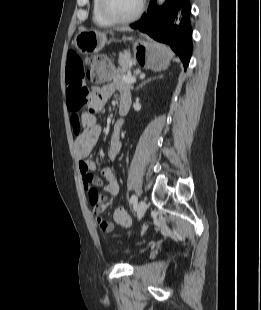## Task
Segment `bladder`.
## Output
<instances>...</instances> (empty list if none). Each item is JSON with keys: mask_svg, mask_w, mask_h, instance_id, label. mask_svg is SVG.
<instances>
[{"mask_svg": "<svg viewBox=\"0 0 261 310\" xmlns=\"http://www.w3.org/2000/svg\"><path fill=\"white\" fill-rule=\"evenodd\" d=\"M128 252H129V249H126V250H125V253H128Z\"/></svg>", "mask_w": 261, "mask_h": 310, "instance_id": "1", "label": "bladder"}]
</instances>
